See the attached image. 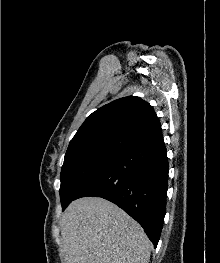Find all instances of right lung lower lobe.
<instances>
[{"instance_id": "1", "label": "right lung lower lobe", "mask_w": 220, "mask_h": 263, "mask_svg": "<svg viewBox=\"0 0 220 263\" xmlns=\"http://www.w3.org/2000/svg\"><path fill=\"white\" fill-rule=\"evenodd\" d=\"M168 171L161 133L123 149L73 200L95 196L115 203L143 227L156 248L166 213Z\"/></svg>"}]
</instances>
